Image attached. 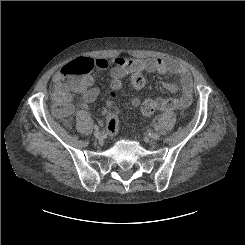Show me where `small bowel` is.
I'll return each instance as SVG.
<instances>
[{
	"label": "small bowel",
	"mask_w": 245,
	"mask_h": 245,
	"mask_svg": "<svg viewBox=\"0 0 245 245\" xmlns=\"http://www.w3.org/2000/svg\"><path fill=\"white\" fill-rule=\"evenodd\" d=\"M111 75L114 80H118L125 75L135 72H159L164 74H172L179 77V87L172 84H165L164 87L170 91L179 90L180 95L172 98H154L156 110L169 111L176 108H185L192 102V78L188 70L177 62L167 58H150L146 60H136L125 58L123 56H115L111 59ZM95 65L98 70H107L110 63L104 59H96ZM62 68L55 74L54 80L61 75ZM92 82V81H91ZM91 82L80 90L81 104H89L94 102L100 95L97 87H91ZM139 104V100H135ZM109 118L117 119V113L114 110L108 114Z\"/></svg>",
	"instance_id": "obj_1"
}]
</instances>
